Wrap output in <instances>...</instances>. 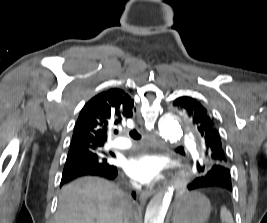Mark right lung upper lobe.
Returning <instances> with one entry per match:
<instances>
[{
	"label": "right lung upper lobe",
	"instance_id": "cb5924a9",
	"mask_svg": "<svg viewBox=\"0 0 267 223\" xmlns=\"http://www.w3.org/2000/svg\"><path fill=\"white\" fill-rule=\"evenodd\" d=\"M134 101L121 89L101 92L88 101L77 119L70 150L81 146L103 148L108 132L132 117Z\"/></svg>",
	"mask_w": 267,
	"mask_h": 223
}]
</instances>
